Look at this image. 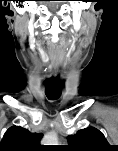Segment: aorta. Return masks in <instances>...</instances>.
<instances>
[{
    "label": "aorta",
    "instance_id": "1",
    "mask_svg": "<svg viewBox=\"0 0 118 151\" xmlns=\"http://www.w3.org/2000/svg\"><path fill=\"white\" fill-rule=\"evenodd\" d=\"M43 145H57L58 137L54 132L47 133L42 139Z\"/></svg>",
    "mask_w": 118,
    "mask_h": 151
}]
</instances>
